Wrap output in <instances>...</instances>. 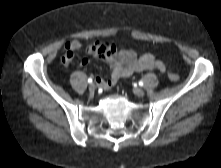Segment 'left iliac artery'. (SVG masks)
Listing matches in <instances>:
<instances>
[{
  "label": "left iliac artery",
  "mask_w": 221,
  "mask_h": 168,
  "mask_svg": "<svg viewBox=\"0 0 221 168\" xmlns=\"http://www.w3.org/2000/svg\"><path fill=\"white\" fill-rule=\"evenodd\" d=\"M143 84H144L143 81H139L140 86H143Z\"/></svg>",
  "instance_id": "44dca946"
}]
</instances>
